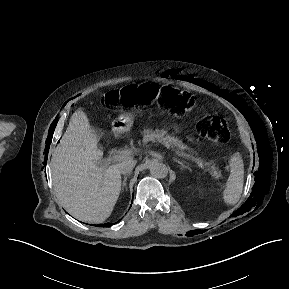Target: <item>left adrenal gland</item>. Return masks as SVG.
<instances>
[{"mask_svg":"<svg viewBox=\"0 0 289 289\" xmlns=\"http://www.w3.org/2000/svg\"><path fill=\"white\" fill-rule=\"evenodd\" d=\"M174 161L177 162L179 165H180V168L183 170V169H189L190 170V167L187 166L184 162L180 161L179 159L177 158H174Z\"/></svg>","mask_w":289,"mask_h":289,"instance_id":"1","label":"left adrenal gland"}]
</instances>
